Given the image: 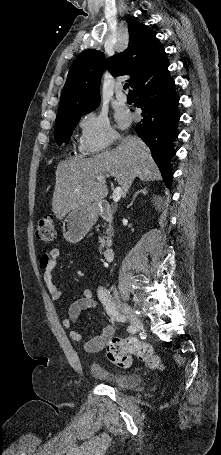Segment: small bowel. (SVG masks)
<instances>
[{
    "instance_id": "1",
    "label": "small bowel",
    "mask_w": 221,
    "mask_h": 455,
    "mask_svg": "<svg viewBox=\"0 0 221 455\" xmlns=\"http://www.w3.org/2000/svg\"><path fill=\"white\" fill-rule=\"evenodd\" d=\"M59 250L56 247L48 248L42 251L39 257L38 266L41 272L42 280L45 283L51 299L58 300L61 297V290L54 283L52 272L57 265ZM96 306L91 289H84L80 298L75 300L69 307L68 316L63 319L62 325L69 330L70 338L74 341H80L82 333L73 328L74 323L78 320L81 313L85 310L92 309ZM114 326L107 325L102 333L91 338L84 346L86 352L95 353L101 351L107 342L114 335Z\"/></svg>"
}]
</instances>
